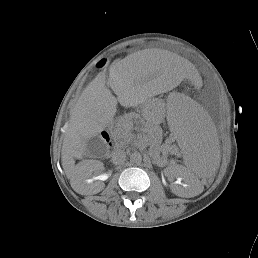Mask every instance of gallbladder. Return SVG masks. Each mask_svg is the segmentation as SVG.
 Returning <instances> with one entry per match:
<instances>
[{
	"label": "gallbladder",
	"mask_w": 258,
	"mask_h": 258,
	"mask_svg": "<svg viewBox=\"0 0 258 258\" xmlns=\"http://www.w3.org/2000/svg\"><path fill=\"white\" fill-rule=\"evenodd\" d=\"M103 143L98 136H93L87 140V151L90 155H95L96 150L102 148Z\"/></svg>",
	"instance_id": "bac80fb5"
}]
</instances>
